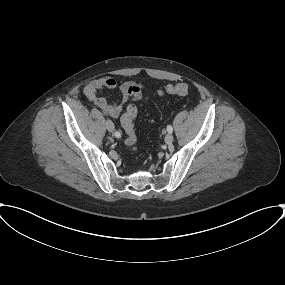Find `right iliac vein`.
<instances>
[{
    "label": "right iliac vein",
    "mask_w": 285,
    "mask_h": 285,
    "mask_svg": "<svg viewBox=\"0 0 285 285\" xmlns=\"http://www.w3.org/2000/svg\"><path fill=\"white\" fill-rule=\"evenodd\" d=\"M105 126H106V129L109 131V132H113L114 131V124L111 120H107L105 122Z\"/></svg>",
    "instance_id": "obj_1"
}]
</instances>
